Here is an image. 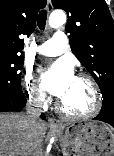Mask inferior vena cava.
I'll return each mask as SVG.
<instances>
[{
    "mask_svg": "<svg viewBox=\"0 0 114 156\" xmlns=\"http://www.w3.org/2000/svg\"><path fill=\"white\" fill-rule=\"evenodd\" d=\"M43 97L39 93H32L29 97L26 115L32 122L39 120L42 113Z\"/></svg>",
    "mask_w": 114,
    "mask_h": 156,
    "instance_id": "602c4592",
    "label": "inferior vena cava"
}]
</instances>
